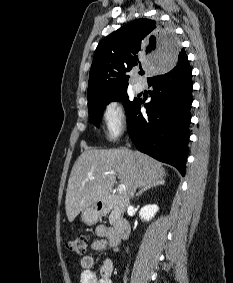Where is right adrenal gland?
Instances as JSON below:
<instances>
[{
	"label": "right adrenal gland",
	"instance_id": "2a0ac1e0",
	"mask_svg": "<svg viewBox=\"0 0 233 283\" xmlns=\"http://www.w3.org/2000/svg\"><path fill=\"white\" fill-rule=\"evenodd\" d=\"M151 187H152V186H147V187L143 188L142 190H140V191L138 192V194H136V197H139L143 192L149 190Z\"/></svg>",
	"mask_w": 233,
	"mask_h": 283
}]
</instances>
